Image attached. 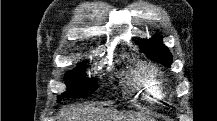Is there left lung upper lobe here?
Masks as SVG:
<instances>
[{
  "instance_id": "1",
  "label": "left lung upper lobe",
  "mask_w": 217,
  "mask_h": 121,
  "mask_svg": "<svg viewBox=\"0 0 217 121\" xmlns=\"http://www.w3.org/2000/svg\"><path fill=\"white\" fill-rule=\"evenodd\" d=\"M141 49L142 51L147 52L154 61L160 62L167 67L171 66L172 55L168 48L163 45L160 36L143 41Z\"/></svg>"
}]
</instances>
